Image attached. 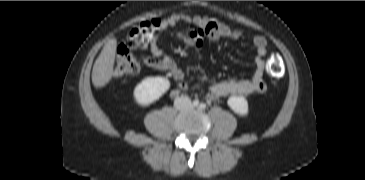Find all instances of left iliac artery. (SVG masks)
Segmentation results:
<instances>
[{"label": "left iliac artery", "mask_w": 365, "mask_h": 180, "mask_svg": "<svg viewBox=\"0 0 365 180\" xmlns=\"http://www.w3.org/2000/svg\"><path fill=\"white\" fill-rule=\"evenodd\" d=\"M199 108H200L201 110H205V108H206V104L201 103V104H200V106H199Z\"/></svg>", "instance_id": "1"}]
</instances>
